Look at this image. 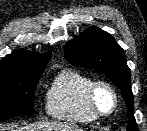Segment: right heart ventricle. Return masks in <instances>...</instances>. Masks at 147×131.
<instances>
[{"instance_id": "obj_1", "label": "right heart ventricle", "mask_w": 147, "mask_h": 131, "mask_svg": "<svg viewBox=\"0 0 147 131\" xmlns=\"http://www.w3.org/2000/svg\"><path fill=\"white\" fill-rule=\"evenodd\" d=\"M93 79L87 74L65 69L59 72L51 82L46 93V112L57 120L90 124L96 117L90 112L86 94Z\"/></svg>"}]
</instances>
